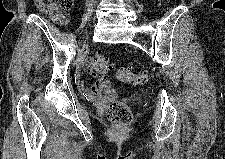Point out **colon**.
Returning <instances> with one entry per match:
<instances>
[{
  "label": "colon",
  "instance_id": "colon-1",
  "mask_svg": "<svg viewBox=\"0 0 225 159\" xmlns=\"http://www.w3.org/2000/svg\"><path fill=\"white\" fill-rule=\"evenodd\" d=\"M73 5V0H38L39 8L52 15L56 20L63 21ZM93 68L100 77H106L112 69L109 59L101 52L93 58ZM119 81L134 85H143L149 82L150 74L147 71L133 72L130 68L117 71ZM107 119L115 125H124L130 122L132 114L130 109L122 102L110 101L106 107Z\"/></svg>",
  "mask_w": 225,
  "mask_h": 159
}]
</instances>
